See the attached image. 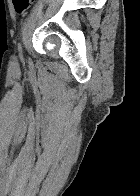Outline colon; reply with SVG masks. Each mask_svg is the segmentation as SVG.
Here are the masks:
<instances>
[{
    "mask_svg": "<svg viewBox=\"0 0 140 196\" xmlns=\"http://www.w3.org/2000/svg\"><path fill=\"white\" fill-rule=\"evenodd\" d=\"M15 7L17 8L18 4H23V1L13 0ZM29 3V0L27 1Z\"/></svg>",
    "mask_w": 140,
    "mask_h": 196,
    "instance_id": "5ec220e1",
    "label": "colon"
}]
</instances>
